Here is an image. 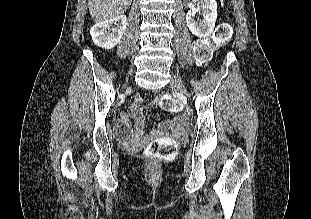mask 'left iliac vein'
<instances>
[{
    "instance_id": "left-iliac-vein-1",
    "label": "left iliac vein",
    "mask_w": 311,
    "mask_h": 219,
    "mask_svg": "<svg viewBox=\"0 0 311 219\" xmlns=\"http://www.w3.org/2000/svg\"><path fill=\"white\" fill-rule=\"evenodd\" d=\"M170 86L174 90H176L179 93H181L182 95L188 96V92H187V89L185 88L184 84L175 75H173L172 78H171Z\"/></svg>"
}]
</instances>
